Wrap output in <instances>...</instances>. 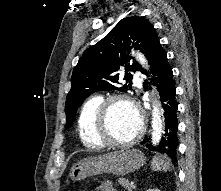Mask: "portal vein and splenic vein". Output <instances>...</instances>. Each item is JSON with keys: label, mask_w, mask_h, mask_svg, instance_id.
<instances>
[{"label": "portal vein and splenic vein", "mask_w": 221, "mask_h": 191, "mask_svg": "<svg viewBox=\"0 0 221 191\" xmlns=\"http://www.w3.org/2000/svg\"><path fill=\"white\" fill-rule=\"evenodd\" d=\"M131 185H132L133 188H135V184H134V182H131Z\"/></svg>", "instance_id": "obj_1"}]
</instances>
